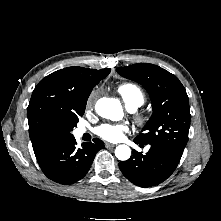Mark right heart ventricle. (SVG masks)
<instances>
[{
	"instance_id": "obj_1",
	"label": "right heart ventricle",
	"mask_w": 221,
	"mask_h": 221,
	"mask_svg": "<svg viewBox=\"0 0 221 221\" xmlns=\"http://www.w3.org/2000/svg\"><path fill=\"white\" fill-rule=\"evenodd\" d=\"M118 93L128 107H139L145 102L143 90L136 84L123 83L118 86Z\"/></svg>"
}]
</instances>
